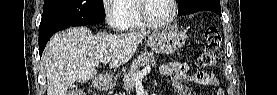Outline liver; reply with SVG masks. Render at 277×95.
Wrapping results in <instances>:
<instances>
[{"mask_svg":"<svg viewBox=\"0 0 277 95\" xmlns=\"http://www.w3.org/2000/svg\"><path fill=\"white\" fill-rule=\"evenodd\" d=\"M148 32L125 34L98 33L76 27L55 34L42 55L47 77V95H65L76 81L87 82L96 76V68L110 57V68L126 64Z\"/></svg>","mask_w":277,"mask_h":95,"instance_id":"1","label":"liver"}]
</instances>
